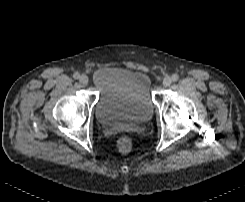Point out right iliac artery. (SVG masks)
I'll return each mask as SVG.
<instances>
[{
    "label": "right iliac artery",
    "instance_id": "right-iliac-artery-1",
    "mask_svg": "<svg viewBox=\"0 0 245 202\" xmlns=\"http://www.w3.org/2000/svg\"><path fill=\"white\" fill-rule=\"evenodd\" d=\"M73 77L75 79H79L80 78V74L78 72H76V73L73 74Z\"/></svg>",
    "mask_w": 245,
    "mask_h": 202
}]
</instances>
